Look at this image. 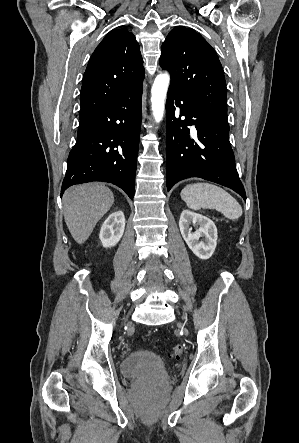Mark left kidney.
Returning <instances> with one entry per match:
<instances>
[{
  "mask_svg": "<svg viewBox=\"0 0 299 443\" xmlns=\"http://www.w3.org/2000/svg\"><path fill=\"white\" fill-rule=\"evenodd\" d=\"M190 224H198L200 227L195 233H192ZM179 228L188 247L198 258L206 260L213 255L218 236L217 228L212 220L201 214L183 210L179 220ZM202 236L204 240L199 241Z\"/></svg>",
  "mask_w": 299,
  "mask_h": 443,
  "instance_id": "left-kidney-1",
  "label": "left kidney"
}]
</instances>
